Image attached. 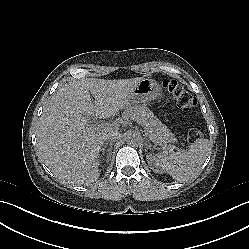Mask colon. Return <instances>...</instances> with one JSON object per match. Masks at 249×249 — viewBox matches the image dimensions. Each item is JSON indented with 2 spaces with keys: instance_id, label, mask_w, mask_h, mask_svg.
<instances>
[{
  "instance_id": "colon-1",
  "label": "colon",
  "mask_w": 249,
  "mask_h": 249,
  "mask_svg": "<svg viewBox=\"0 0 249 249\" xmlns=\"http://www.w3.org/2000/svg\"><path fill=\"white\" fill-rule=\"evenodd\" d=\"M160 85L168 92L177 106L183 111H190L196 105V98L188 92L181 84L173 79H164ZM200 127L196 126L187 132V139L195 142L202 137Z\"/></svg>"
}]
</instances>
